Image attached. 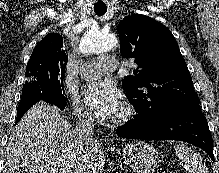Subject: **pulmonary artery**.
<instances>
[{"label": "pulmonary artery", "instance_id": "1", "mask_svg": "<svg viewBox=\"0 0 219 173\" xmlns=\"http://www.w3.org/2000/svg\"><path fill=\"white\" fill-rule=\"evenodd\" d=\"M118 67L114 56H101L96 61L86 62L79 68V75L84 79H94L104 72H112Z\"/></svg>", "mask_w": 219, "mask_h": 173}]
</instances>
